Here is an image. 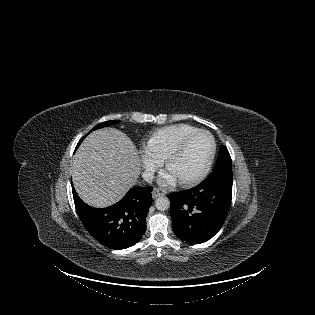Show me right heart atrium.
<instances>
[{"instance_id": "right-heart-atrium-1", "label": "right heart atrium", "mask_w": 315, "mask_h": 315, "mask_svg": "<svg viewBox=\"0 0 315 315\" xmlns=\"http://www.w3.org/2000/svg\"><path fill=\"white\" fill-rule=\"evenodd\" d=\"M141 161L145 170V175H150L159 165L160 160H158L150 151L145 147L141 150Z\"/></svg>"}]
</instances>
